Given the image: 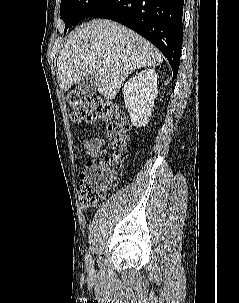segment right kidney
Returning <instances> with one entry per match:
<instances>
[{
    "instance_id": "ca27d5eb",
    "label": "right kidney",
    "mask_w": 239,
    "mask_h": 303,
    "mask_svg": "<svg viewBox=\"0 0 239 303\" xmlns=\"http://www.w3.org/2000/svg\"><path fill=\"white\" fill-rule=\"evenodd\" d=\"M157 94V74L154 69L142 70L124 84L125 107L134 127L141 128L148 123Z\"/></svg>"
}]
</instances>
